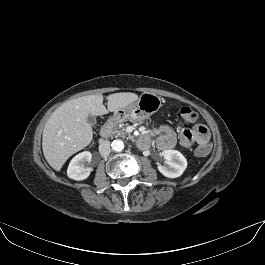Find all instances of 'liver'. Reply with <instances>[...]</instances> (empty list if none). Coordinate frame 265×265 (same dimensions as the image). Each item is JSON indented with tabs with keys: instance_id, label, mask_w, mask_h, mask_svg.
<instances>
[{
	"instance_id": "obj_1",
	"label": "liver",
	"mask_w": 265,
	"mask_h": 265,
	"mask_svg": "<svg viewBox=\"0 0 265 265\" xmlns=\"http://www.w3.org/2000/svg\"><path fill=\"white\" fill-rule=\"evenodd\" d=\"M139 96L131 92L107 96V109L103 95L94 94L67 101L58 107L48 119L42 136L43 154L49 165L60 171L67 159L88 146L93 139L88 115L101 116L137 101Z\"/></svg>"
}]
</instances>
